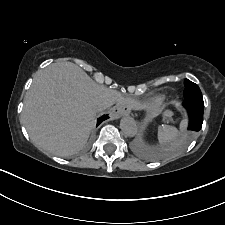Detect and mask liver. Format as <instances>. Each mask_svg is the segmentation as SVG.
Segmentation results:
<instances>
[{"mask_svg": "<svg viewBox=\"0 0 225 225\" xmlns=\"http://www.w3.org/2000/svg\"><path fill=\"white\" fill-rule=\"evenodd\" d=\"M121 100L117 91L97 84L75 64L53 63L35 75L22 123L38 148L67 156L87 143L99 104L110 107Z\"/></svg>", "mask_w": 225, "mask_h": 225, "instance_id": "obj_1", "label": "liver"}]
</instances>
